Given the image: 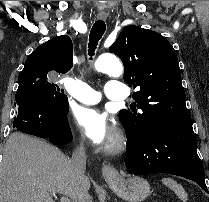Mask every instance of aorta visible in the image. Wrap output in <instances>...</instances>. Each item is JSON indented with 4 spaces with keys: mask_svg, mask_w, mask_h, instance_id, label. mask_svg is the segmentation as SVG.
Masks as SVG:
<instances>
[{
    "mask_svg": "<svg viewBox=\"0 0 209 202\" xmlns=\"http://www.w3.org/2000/svg\"><path fill=\"white\" fill-rule=\"evenodd\" d=\"M95 69L112 77H120L123 73V66L119 59L110 54L99 56L95 62Z\"/></svg>",
    "mask_w": 209,
    "mask_h": 202,
    "instance_id": "762f6f07",
    "label": "aorta"
}]
</instances>
